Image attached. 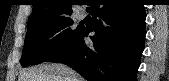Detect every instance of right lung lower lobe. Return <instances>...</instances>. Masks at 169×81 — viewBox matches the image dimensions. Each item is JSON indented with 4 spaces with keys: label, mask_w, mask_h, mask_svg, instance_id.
I'll use <instances>...</instances> for the list:
<instances>
[{
    "label": "right lung lower lobe",
    "mask_w": 169,
    "mask_h": 81,
    "mask_svg": "<svg viewBox=\"0 0 169 81\" xmlns=\"http://www.w3.org/2000/svg\"><path fill=\"white\" fill-rule=\"evenodd\" d=\"M90 13L95 19L89 48L81 27L77 36L46 62L71 66L88 81H136L144 49L145 10L136 0H94Z\"/></svg>",
    "instance_id": "right-lung-lower-lobe-1"
}]
</instances>
